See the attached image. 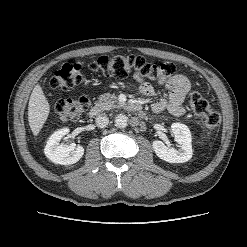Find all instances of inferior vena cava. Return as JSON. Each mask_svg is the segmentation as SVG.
Returning <instances> with one entry per match:
<instances>
[{
	"label": "inferior vena cava",
	"instance_id": "inferior-vena-cava-1",
	"mask_svg": "<svg viewBox=\"0 0 247 247\" xmlns=\"http://www.w3.org/2000/svg\"><path fill=\"white\" fill-rule=\"evenodd\" d=\"M96 125L99 128H104L109 123V118L105 114H100L95 119Z\"/></svg>",
	"mask_w": 247,
	"mask_h": 247
}]
</instances>
